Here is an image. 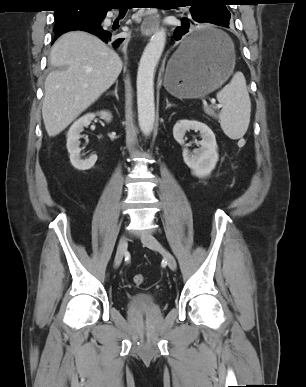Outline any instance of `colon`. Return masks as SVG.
I'll list each match as a JSON object with an SVG mask.
<instances>
[{
  "label": "colon",
  "mask_w": 306,
  "mask_h": 387,
  "mask_svg": "<svg viewBox=\"0 0 306 387\" xmlns=\"http://www.w3.org/2000/svg\"><path fill=\"white\" fill-rule=\"evenodd\" d=\"M133 282L136 286H141L145 282V277L142 274H136L133 277Z\"/></svg>",
  "instance_id": "5ec220e1"
}]
</instances>
